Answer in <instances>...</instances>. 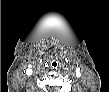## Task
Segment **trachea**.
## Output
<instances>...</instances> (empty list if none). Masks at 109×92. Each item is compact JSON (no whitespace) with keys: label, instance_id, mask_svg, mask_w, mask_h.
<instances>
[{"label":"trachea","instance_id":"3493384b","mask_svg":"<svg viewBox=\"0 0 109 92\" xmlns=\"http://www.w3.org/2000/svg\"><path fill=\"white\" fill-rule=\"evenodd\" d=\"M54 67L56 66L54 63L52 64Z\"/></svg>","mask_w":109,"mask_h":92}]
</instances>
